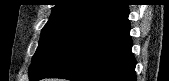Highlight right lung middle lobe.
I'll list each match as a JSON object with an SVG mask.
<instances>
[{
	"label": "right lung middle lobe",
	"mask_w": 169,
	"mask_h": 81,
	"mask_svg": "<svg viewBox=\"0 0 169 81\" xmlns=\"http://www.w3.org/2000/svg\"><path fill=\"white\" fill-rule=\"evenodd\" d=\"M87 21L77 17L49 19L41 32L29 75L34 73L80 26Z\"/></svg>",
	"instance_id": "right-lung-middle-lobe-1"
}]
</instances>
